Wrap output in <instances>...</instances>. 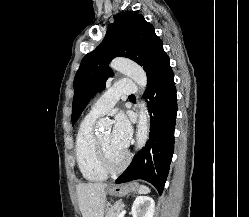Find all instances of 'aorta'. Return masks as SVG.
Returning <instances> with one entry per match:
<instances>
[{"mask_svg":"<svg viewBox=\"0 0 249 217\" xmlns=\"http://www.w3.org/2000/svg\"><path fill=\"white\" fill-rule=\"evenodd\" d=\"M110 67L116 71L124 73L139 85L140 88L145 89L147 85V76L143 68H141L136 63L124 59V58H115L110 63ZM140 114L137 125V133H136V149L140 150L143 148L149 138L150 132V118L148 115V111L146 108V103L141 101L140 103ZM107 121L101 119L98 121V126H106Z\"/></svg>","mask_w":249,"mask_h":217,"instance_id":"aorta-1","label":"aorta"}]
</instances>
